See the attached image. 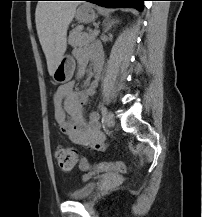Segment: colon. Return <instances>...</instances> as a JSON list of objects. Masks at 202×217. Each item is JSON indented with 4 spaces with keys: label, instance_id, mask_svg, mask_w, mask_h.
Here are the masks:
<instances>
[{
    "label": "colon",
    "instance_id": "colon-1",
    "mask_svg": "<svg viewBox=\"0 0 202 217\" xmlns=\"http://www.w3.org/2000/svg\"><path fill=\"white\" fill-rule=\"evenodd\" d=\"M55 158L58 166L62 171H71L78 162L79 166L84 171H92L94 173L106 171H127V164L125 162H102L98 164H91L84 157H79L77 152L69 147H58L55 150Z\"/></svg>",
    "mask_w": 202,
    "mask_h": 217
}]
</instances>
